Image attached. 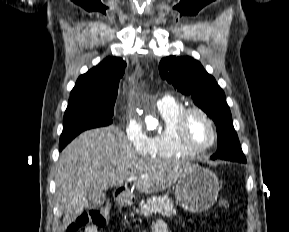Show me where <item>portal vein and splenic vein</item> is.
Instances as JSON below:
<instances>
[{"label":"portal vein and splenic vein","instance_id":"1","mask_svg":"<svg viewBox=\"0 0 289 232\" xmlns=\"http://www.w3.org/2000/svg\"><path fill=\"white\" fill-rule=\"evenodd\" d=\"M137 179H139L138 176H131V177H129V178L127 179V182H132V181H135V180H137Z\"/></svg>","mask_w":289,"mask_h":232}]
</instances>
